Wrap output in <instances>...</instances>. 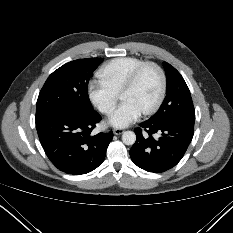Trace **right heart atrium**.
I'll use <instances>...</instances> for the list:
<instances>
[{
	"instance_id": "obj_1",
	"label": "right heart atrium",
	"mask_w": 233,
	"mask_h": 233,
	"mask_svg": "<svg viewBox=\"0 0 233 233\" xmlns=\"http://www.w3.org/2000/svg\"><path fill=\"white\" fill-rule=\"evenodd\" d=\"M88 97L92 104L105 115H110L114 111L118 101V94L100 79L89 82Z\"/></svg>"
}]
</instances>
